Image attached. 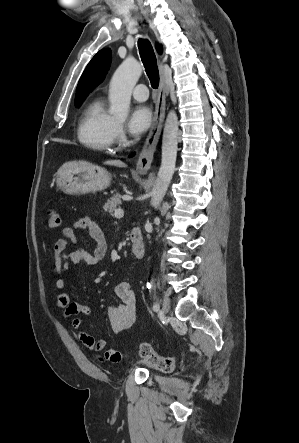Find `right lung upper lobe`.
Returning <instances> with one entry per match:
<instances>
[{
    "label": "right lung upper lobe",
    "instance_id": "right-lung-upper-lobe-1",
    "mask_svg": "<svg viewBox=\"0 0 299 443\" xmlns=\"http://www.w3.org/2000/svg\"><path fill=\"white\" fill-rule=\"evenodd\" d=\"M158 53H162L161 45L156 44ZM111 63V50H100L89 62L84 70L76 89L75 105L81 104L88 94L100 84L109 69Z\"/></svg>",
    "mask_w": 299,
    "mask_h": 443
}]
</instances>
